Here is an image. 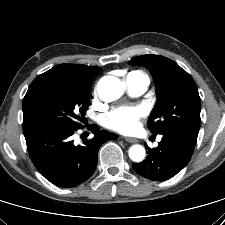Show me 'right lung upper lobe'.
<instances>
[{
	"instance_id": "right-lung-upper-lobe-1",
	"label": "right lung upper lobe",
	"mask_w": 225,
	"mask_h": 225,
	"mask_svg": "<svg viewBox=\"0 0 225 225\" xmlns=\"http://www.w3.org/2000/svg\"><path fill=\"white\" fill-rule=\"evenodd\" d=\"M51 70H67L82 76L95 78L97 73L100 71V68L97 66H87L82 64H60L53 67Z\"/></svg>"
}]
</instances>
